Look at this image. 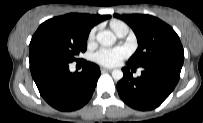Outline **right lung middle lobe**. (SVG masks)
I'll use <instances>...</instances> for the list:
<instances>
[{
	"label": "right lung middle lobe",
	"mask_w": 203,
	"mask_h": 123,
	"mask_svg": "<svg viewBox=\"0 0 203 123\" xmlns=\"http://www.w3.org/2000/svg\"><path fill=\"white\" fill-rule=\"evenodd\" d=\"M90 30L67 16L54 17L42 23L29 45V58L57 57L69 62L87 49Z\"/></svg>",
	"instance_id": "dd1d6c3e"
}]
</instances>
